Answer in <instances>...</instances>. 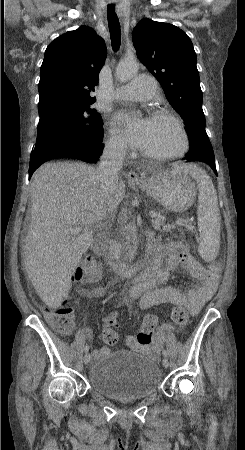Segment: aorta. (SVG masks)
I'll return each instance as SVG.
<instances>
[{
  "mask_svg": "<svg viewBox=\"0 0 245 450\" xmlns=\"http://www.w3.org/2000/svg\"><path fill=\"white\" fill-rule=\"evenodd\" d=\"M138 72V63L136 60L121 61L117 68L116 74L119 80L128 81L133 78Z\"/></svg>",
  "mask_w": 245,
  "mask_h": 450,
  "instance_id": "762f6f07",
  "label": "aorta"
}]
</instances>
